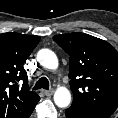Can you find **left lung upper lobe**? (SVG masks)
<instances>
[{
    "label": "left lung upper lobe",
    "instance_id": "5c2ea615",
    "mask_svg": "<svg viewBox=\"0 0 118 118\" xmlns=\"http://www.w3.org/2000/svg\"><path fill=\"white\" fill-rule=\"evenodd\" d=\"M53 39L70 55L71 106L112 114L118 107V53L114 47L79 32L55 35Z\"/></svg>",
    "mask_w": 118,
    "mask_h": 118
}]
</instances>
